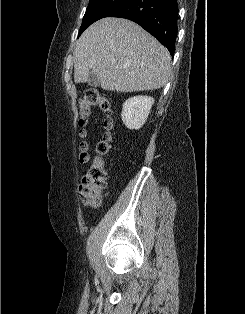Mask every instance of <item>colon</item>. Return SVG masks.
I'll use <instances>...</instances> for the list:
<instances>
[{
  "mask_svg": "<svg viewBox=\"0 0 245 314\" xmlns=\"http://www.w3.org/2000/svg\"><path fill=\"white\" fill-rule=\"evenodd\" d=\"M93 107L98 108L106 116L104 127L107 132L97 143V155L92 160H90L88 153V144L81 142L79 145V160L83 164L88 163L79 189L82 203L86 208L98 206L101 193L106 186L107 172L105 157L111 148V136L109 131L113 127V121L111 119L112 105L109 97L101 94L96 89H87L83 93L79 104V126L81 127L79 135L82 138L86 136V131L83 127L86 125L91 108Z\"/></svg>",
  "mask_w": 245,
  "mask_h": 314,
  "instance_id": "1",
  "label": "colon"
}]
</instances>
